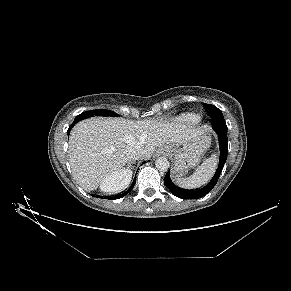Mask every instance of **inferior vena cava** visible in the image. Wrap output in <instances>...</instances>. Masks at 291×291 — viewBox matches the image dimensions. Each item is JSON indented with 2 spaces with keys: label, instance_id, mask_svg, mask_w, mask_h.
Wrapping results in <instances>:
<instances>
[{
  "label": "inferior vena cava",
  "instance_id": "inferior-vena-cava-1",
  "mask_svg": "<svg viewBox=\"0 0 291 291\" xmlns=\"http://www.w3.org/2000/svg\"><path fill=\"white\" fill-rule=\"evenodd\" d=\"M127 155L130 160H137L142 156V149L139 146L130 147L127 151Z\"/></svg>",
  "mask_w": 291,
  "mask_h": 291
}]
</instances>
